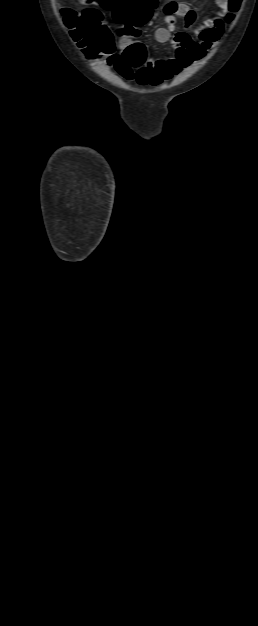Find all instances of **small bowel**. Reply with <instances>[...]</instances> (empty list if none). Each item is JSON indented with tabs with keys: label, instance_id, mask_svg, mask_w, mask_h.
<instances>
[{
	"label": "small bowel",
	"instance_id": "1",
	"mask_svg": "<svg viewBox=\"0 0 258 626\" xmlns=\"http://www.w3.org/2000/svg\"><path fill=\"white\" fill-rule=\"evenodd\" d=\"M220 11L197 29L194 34L188 31L176 32V20L183 21L186 30H191L196 22V13L188 5L170 1L164 5L165 26L155 31L159 43L172 41L175 55L167 59L146 60L137 71L122 53L108 55V64L126 81H136L140 85L158 86L172 79L194 62L203 59L217 44L224 31V17L228 10V0H213ZM116 18V16H115ZM173 33L175 35L172 37Z\"/></svg>",
	"mask_w": 258,
	"mask_h": 626
}]
</instances>
